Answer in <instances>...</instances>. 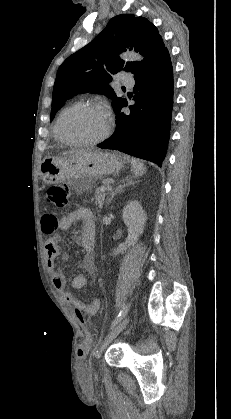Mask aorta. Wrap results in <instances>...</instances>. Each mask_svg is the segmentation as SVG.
Returning <instances> with one entry per match:
<instances>
[{"mask_svg": "<svg viewBox=\"0 0 231 419\" xmlns=\"http://www.w3.org/2000/svg\"><path fill=\"white\" fill-rule=\"evenodd\" d=\"M121 58L130 61H141L143 59V57L136 52H125L121 55Z\"/></svg>", "mask_w": 231, "mask_h": 419, "instance_id": "aorta-1", "label": "aorta"}]
</instances>
